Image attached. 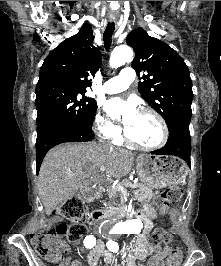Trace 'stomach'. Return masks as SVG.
I'll use <instances>...</instances> for the list:
<instances>
[{"mask_svg":"<svg viewBox=\"0 0 221 266\" xmlns=\"http://www.w3.org/2000/svg\"><path fill=\"white\" fill-rule=\"evenodd\" d=\"M136 170L141 181L152 189H161L185 181L188 167L173 156L142 154L137 158Z\"/></svg>","mask_w":221,"mask_h":266,"instance_id":"1","label":"stomach"}]
</instances>
